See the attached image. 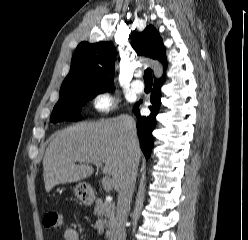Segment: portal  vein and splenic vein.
I'll return each mask as SVG.
<instances>
[{
  "label": "portal vein and splenic vein",
  "mask_w": 248,
  "mask_h": 240,
  "mask_svg": "<svg viewBox=\"0 0 248 240\" xmlns=\"http://www.w3.org/2000/svg\"><path fill=\"white\" fill-rule=\"evenodd\" d=\"M84 161L87 163H93L97 167L102 166L101 162L98 160L86 159ZM102 184H103L104 190L110 191L112 188L113 181L110 177L105 176V177H103Z\"/></svg>",
  "instance_id": "1"
}]
</instances>
